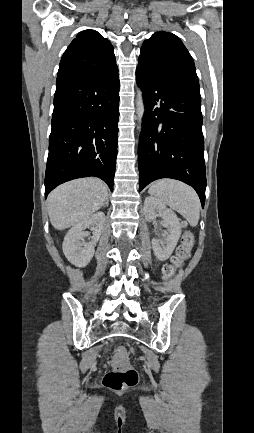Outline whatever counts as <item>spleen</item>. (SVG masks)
I'll use <instances>...</instances> for the list:
<instances>
[{"instance_id":"obj_1","label":"spleen","mask_w":254,"mask_h":433,"mask_svg":"<svg viewBox=\"0 0 254 433\" xmlns=\"http://www.w3.org/2000/svg\"><path fill=\"white\" fill-rule=\"evenodd\" d=\"M148 192L181 214L191 226H197L201 205L192 187L177 180L161 179L154 182Z\"/></svg>"}]
</instances>
